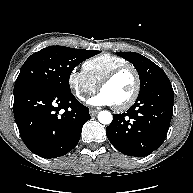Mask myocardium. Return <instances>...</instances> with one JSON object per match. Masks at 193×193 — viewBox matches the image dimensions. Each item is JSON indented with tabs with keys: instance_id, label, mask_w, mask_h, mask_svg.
Returning a JSON list of instances; mask_svg holds the SVG:
<instances>
[{
	"instance_id": "f54148a6",
	"label": "myocardium",
	"mask_w": 193,
	"mask_h": 193,
	"mask_svg": "<svg viewBox=\"0 0 193 193\" xmlns=\"http://www.w3.org/2000/svg\"><path fill=\"white\" fill-rule=\"evenodd\" d=\"M126 70H130L133 72L134 77H135V88H134L132 95L130 96V98L127 101L119 105H113L114 109L117 111H124V110L129 109L131 106L134 105V103L136 102V100L139 97V94L141 91V77L136 67L129 63L118 66L114 68L113 70H111L110 72H108L98 83V89L101 91L103 86L111 82L116 76H118L120 73Z\"/></svg>"
}]
</instances>
